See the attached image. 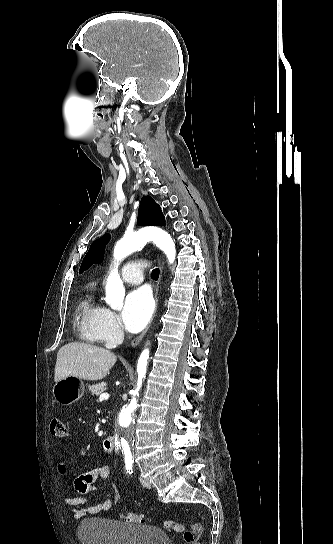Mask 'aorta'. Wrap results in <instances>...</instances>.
Segmentation results:
<instances>
[{
    "label": "aorta",
    "instance_id": "obj_1",
    "mask_svg": "<svg viewBox=\"0 0 333 544\" xmlns=\"http://www.w3.org/2000/svg\"><path fill=\"white\" fill-rule=\"evenodd\" d=\"M148 241H153L156 246L166 254L169 263L174 262L176 249L171 236L167 232L156 227L143 228L132 234L125 235L115 245V261L118 263L133 252L140 250ZM124 296L125 289L116 266L111 270L107 278L105 301L112 309L120 310L123 307ZM148 358L149 350L145 349L141 353L137 364L138 381L136 389L132 392L133 398L130 403L122 409L118 419L117 440L120 443L125 457L129 459L132 458L133 452L132 413L138 406L135 397L139 395L142 379L146 374Z\"/></svg>",
    "mask_w": 333,
    "mask_h": 544
}]
</instances>
